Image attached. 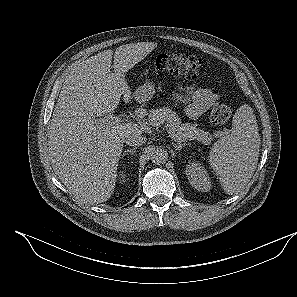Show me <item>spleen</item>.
<instances>
[{
	"instance_id": "obj_1",
	"label": "spleen",
	"mask_w": 297,
	"mask_h": 297,
	"mask_svg": "<svg viewBox=\"0 0 297 297\" xmlns=\"http://www.w3.org/2000/svg\"><path fill=\"white\" fill-rule=\"evenodd\" d=\"M259 147L253 110L242 105L233 116L232 129L214 143L208 156L210 167L227 194H237L249 183L257 167Z\"/></svg>"
}]
</instances>
